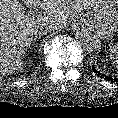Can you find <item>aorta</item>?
Segmentation results:
<instances>
[{
    "label": "aorta",
    "mask_w": 118,
    "mask_h": 118,
    "mask_svg": "<svg viewBox=\"0 0 118 118\" xmlns=\"http://www.w3.org/2000/svg\"><path fill=\"white\" fill-rule=\"evenodd\" d=\"M75 35L84 51L94 53L100 50L101 45L99 39L90 31L77 28Z\"/></svg>",
    "instance_id": "762f6f07"
}]
</instances>
